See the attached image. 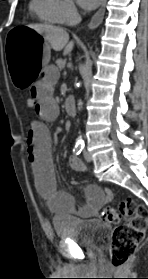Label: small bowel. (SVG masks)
I'll return each instance as SVG.
<instances>
[{
  "label": "small bowel",
  "instance_id": "1",
  "mask_svg": "<svg viewBox=\"0 0 148 279\" xmlns=\"http://www.w3.org/2000/svg\"><path fill=\"white\" fill-rule=\"evenodd\" d=\"M58 76L55 67H45L41 70L40 79L30 89V95L37 100L34 111L38 120L33 121L28 129L27 155L35 176L36 187L50 208L57 213L71 214L76 212V201L68 192L57 187L51 140L45 124L55 120L59 115V106L53 97V87ZM69 165L74 171H86L85 164L75 156L69 157ZM112 199L113 192L110 189L90 185L85 190V205L77 211V214L80 217H90Z\"/></svg>",
  "mask_w": 148,
  "mask_h": 279
}]
</instances>
